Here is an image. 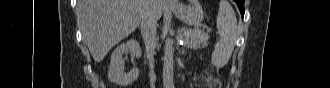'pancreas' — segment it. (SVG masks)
I'll list each match as a JSON object with an SVG mask.
<instances>
[{
  "label": "pancreas",
  "instance_id": "obj_1",
  "mask_svg": "<svg viewBox=\"0 0 330 88\" xmlns=\"http://www.w3.org/2000/svg\"><path fill=\"white\" fill-rule=\"evenodd\" d=\"M182 32L186 48L197 50L207 47L209 35L204 31L183 28Z\"/></svg>",
  "mask_w": 330,
  "mask_h": 88
}]
</instances>
